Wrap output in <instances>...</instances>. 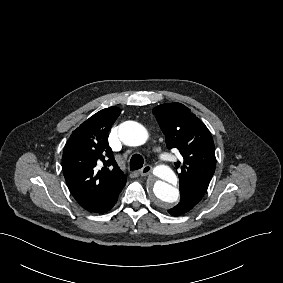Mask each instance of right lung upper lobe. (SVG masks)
<instances>
[{
    "label": "right lung upper lobe",
    "mask_w": 283,
    "mask_h": 283,
    "mask_svg": "<svg viewBox=\"0 0 283 283\" xmlns=\"http://www.w3.org/2000/svg\"><path fill=\"white\" fill-rule=\"evenodd\" d=\"M121 110L103 109L74 130L63 151V173L78 204L96 211L126 184L108 144V132Z\"/></svg>",
    "instance_id": "cb5924a9"
}]
</instances>
